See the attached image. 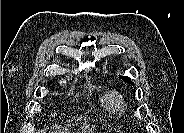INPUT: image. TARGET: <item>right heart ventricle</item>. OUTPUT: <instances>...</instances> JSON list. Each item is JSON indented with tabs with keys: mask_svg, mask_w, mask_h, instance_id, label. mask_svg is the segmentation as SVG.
Listing matches in <instances>:
<instances>
[{
	"mask_svg": "<svg viewBox=\"0 0 184 133\" xmlns=\"http://www.w3.org/2000/svg\"><path fill=\"white\" fill-rule=\"evenodd\" d=\"M105 106L112 110H118L121 106V100L115 93H108L103 97Z\"/></svg>",
	"mask_w": 184,
	"mask_h": 133,
	"instance_id": "obj_1",
	"label": "right heart ventricle"
}]
</instances>
